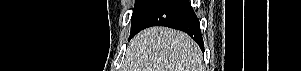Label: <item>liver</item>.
Returning a JSON list of instances; mask_svg holds the SVG:
<instances>
[{"mask_svg":"<svg viewBox=\"0 0 301 71\" xmlns=\"http://www.w3.org/2000/svg\"><path fill=\"white\" fill-rule=\"evenodd\" d=\"M125 71H203L202 51L185 33L153 27L138 33L127 48Z\"/></svg>","mask_w":301,"mask_h":71,"instance_id":"6515ba94","label":"liver"}]
</instances>
